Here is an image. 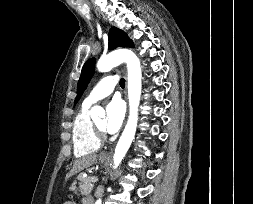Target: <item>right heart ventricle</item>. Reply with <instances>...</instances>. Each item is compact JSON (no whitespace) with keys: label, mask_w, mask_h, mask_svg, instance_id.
I'll list each match as a JSON object with an SVG mask.
<instances>
[{"label":"right heart ventricle","mask_w":253,"mask_h":204,"mask_svg":"<svg viewBox=\"0 0 253 204\" xmlns=\"http://www.w3.org/2000/svg\"><path fill=\"white\" fill-rule=\"evenodd\" d=\"M90 105L83 103L76 115L72 129L74 154L83 157L98 151L100 141L96 137L93 122L89 116Z\"/></svg>","instance_id":"right-heart-ventricle-1"}]
</instances>
